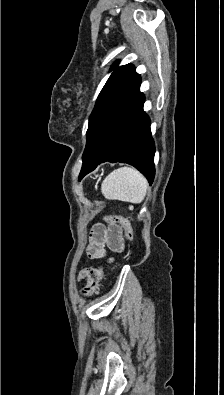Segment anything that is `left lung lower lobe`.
I'll return each instance as SVG.
<instances>
[{
	"label": "left lung lower lobe",
	"instance_id": "1",
	"mask_svg": "<svg viewBox=\"0 0 224 395\" xmlns=\"http://www.w3.org/2000/svg\"><path fill=\"white\" fill-rule=\"evenodd\" d=\"M140 84L138 76L97 113L87 137L79 180L109 161L133 165L150 184L153 182L155 145L150 119L143 111Z\"/></svg>",
	"mask_w": 224,
	"mask_h": 395
}]
</instances>
